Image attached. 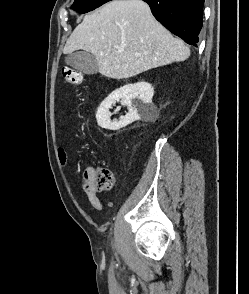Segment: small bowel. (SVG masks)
<instances>
[{"label": "small bowel", "instance_id": "c3829d8e", "mask_svg": "<svg viewBox=\"0 0 249 294\" xmlns=\"http://www.w3.org/2000/svg\"><path fill=\"white\" fill-rule=\"evenodd\" d=\"M57 155L59 163L62 166H65L68 161V154L66 149L64 147H59L57 150ZM82 187L90 205L97 211H103L105 206L97 196V189L89 182L86 177H84Z\"/></svg>", "mask_w": 249, "mask_h": 294}]
</instances>
